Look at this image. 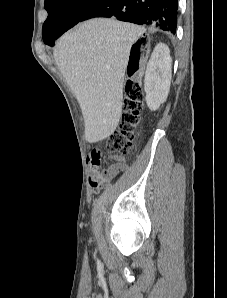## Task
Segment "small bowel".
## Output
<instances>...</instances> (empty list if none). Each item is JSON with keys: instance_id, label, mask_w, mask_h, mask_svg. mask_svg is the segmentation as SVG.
I'll return each mask as SVG.
<instances>
[{"instance_id": "1", "label": "small bowel", "mask_w": 227, "mask_h": 298, "mask_svg": "<svg viewBox=\"0 0 227 298\" xmlns=\"http://www.w3.org/2000/svg\"><path fill=\"white\" fill-rule=\"evenodd\" d=\"M86 157L88 158V163L92 168L90 183L95 190L106 184L118 173L124 171L128 166V163L125 159L119 156H115L114 159L116 162L107 169L101 170V152L97 150L96 146L90 147V150L86 154ZM93 183H97V185L94 186Z\"/></svg>"}]
</instances>
